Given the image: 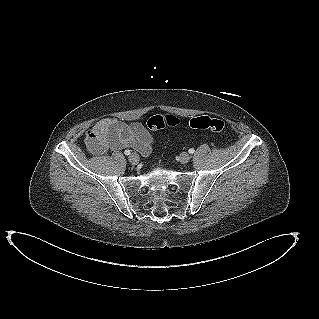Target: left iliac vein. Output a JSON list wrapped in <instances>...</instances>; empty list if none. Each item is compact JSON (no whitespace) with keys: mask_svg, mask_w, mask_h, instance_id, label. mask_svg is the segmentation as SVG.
I'll return each instance as SVG.
<instances>
[{"mask_svg":"<svg viewBox=\"0 0 319 319\" xmlns=\"http://www.w3.org/2000/svg\"><path fill=\"white\" fill-rule=\"evenodd\" d=\"M190 160V155L187 152H183L180 154V162L182 164L188 163Z\"/></svg>","mask_w":319,"mask_h":319,"instance_id":"1","label":"left iliac vein"}]
</instances>
